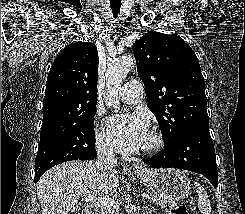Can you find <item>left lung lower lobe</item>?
I'll use <instances>...</instances> for the list:
<instances>
[{"label": "left lung lower lobe", "mask_w": 245, "mask_h": 214, "mask_svg": "<svg viewBox=\"0 0 245 214\" xmlns=\"http://www.w3.org/2000/svg\"><path fill=\"white\" fill-rule=\"evenodd\" d=\"M153 167L178 168L205 176L216 188L218 174L215 149L208 127H196L163 151L142 160Z\"/></svg>", "instance_id": "0a47b994"}]
</instances>
